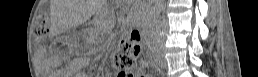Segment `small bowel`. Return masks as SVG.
<instances>
[{
  "instance_id": "obj_1",
  "label": "small bowel",
  "mask_w": 258,
  "mask_h": 77,
  "mask_svg": "<svg viewBox=\"0 0 258 77\" xmlns=\"http://www.w3.org/2000/svg\"><path fill=\"white\" fill-rule=\"evenodd\" d=\"M39 51H40L41 53H45L44 48H40ZM54 64H56V60H54V59L49 60V65H50V66H53Z\"/></svg>"
}]
</instances>
